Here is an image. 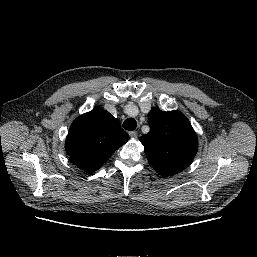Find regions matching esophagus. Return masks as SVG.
Here are the masks:
<instances>
[{
	"instance_id": "1",
	"label": "esophagus",
	"mask_w": 257,
	"mask_h": 257,
	"mask_svg": "<svg viewBox=\"0 0 257 257\" xmlns=\"http://www.w3.org/2000/svg\"><path fill=\"white\" fill-rule=\"evenodd\" d=\"M137 135H138V133H137L136 131H131V132H129V136H130L131 138H137Z\"/></svg>"
}]
</instances>
